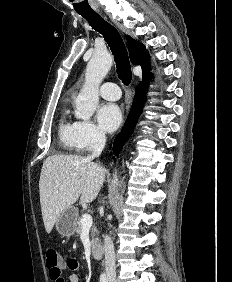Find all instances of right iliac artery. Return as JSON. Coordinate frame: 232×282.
<instances>
[{
  "label": "right iliac artery",
  "instance_id": "1",
  "mask_svg": "<svg viewBox=\"0 0 232 282\" xmlns=\"http://www.w3.org/2000/svg\"><path fill=\"white\" fill-rule=\"evenodd\" d=\"M100 282H107V277H106V274H105V273L101 274V276H100Z\"/></svg>",
  "mask_w": 232,
  "mask_h": 282
}]
</instances>
